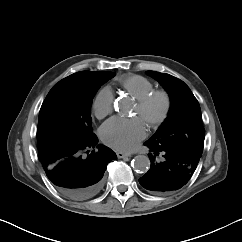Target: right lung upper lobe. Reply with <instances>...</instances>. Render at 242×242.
I'll list each match as a JSON object with an SVG mask.
<instances>
[{
  "label": "right lung upper lobe",
  "mask_w": 242,
  "mask_h": 242,
  "mask_svg": "<svg viewBox=\"0 0 242 242\" xmlns=\"http://www.w3.org/2000/svg\"><path fill=\"white\" fill-rule=\"evenodd\" d=\"M107 73H113V72L81 71L64 78L63 80H61V82L86 83L91 79H93L96 75L107 74Z\"/></svg>",
  "instance_id": "1"
}]
</instances>
